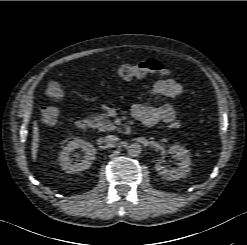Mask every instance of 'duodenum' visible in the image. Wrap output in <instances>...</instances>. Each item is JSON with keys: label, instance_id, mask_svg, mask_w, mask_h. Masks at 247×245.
I'll return each instance as SVG.
<instances>
[{"label": "duodenum", "instance_id": "410a0bca", "mask_svg": "<svg viewBox=\"0 0 247 245\" xmlns=\"http://www.w3.org/2000/svg\"><path fill=\"white\" fill-rule=\"evenodd\" d=\"M76 125L77 128H79L80 130H86L90 127V121L87 118H80L78 119ZM130 130H131V123H127L125 125L124 132L127 134L130 132Z\"/></svg>", "mask_w": 247, "mask_h": 245}]
</instances>
